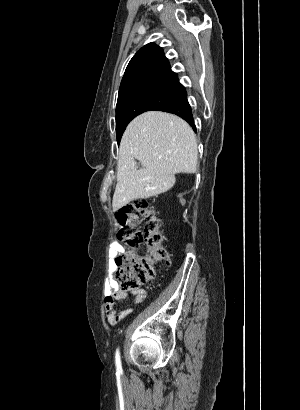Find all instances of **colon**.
<instances>
[{"instance_id":"1","label":"colon","mask_w":300,"mask_h":410,"mask_svg":"<svg viewBox=\"0 0 300 410\" xmlns=\"http://www.w3.org/2000/svg\"><path fill=\"white\" fill-rule=\"evenodd\" d=\"M115 216L120 225L119 238L132 247L145 244L147 249L145 256L128 252L117 258L115 283L127 291L154 282L157 265L170 263L166 237L154 208L147 201L138 200L118 210Z\"/></svg>"}]
</instances>
